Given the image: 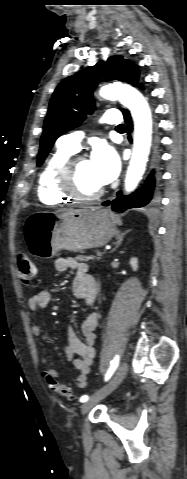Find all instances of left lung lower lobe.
Returning <instances> with one entry per match:
<instances>
[{
  "mask_svg": "<svg viewBox=\"0 0 187 479\" xmlns=\"http://www.w3.org/2000/svg\"><path fill=\"white\" fill-rule=\"evenodd\" d=\"M142 88V85H138ZM127 124L128 132H132V120L128 110L122 111ZM160 179L159 171L155 168L146 180L145 186L129 196H123L122 192L117 193V197L112 202L105 201L102 205L109 206L111 204L112 210L122 213L130 208H140L149 203H155L158 199L157 185Z\"/></svg>",
  "mask_w": 187,
  "mask_h": 479,
  "instance_id": "1",
  "label": "left lung lower lobe"
}]
</instances>
